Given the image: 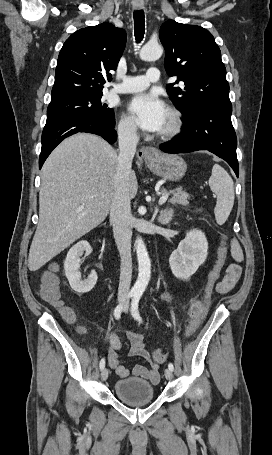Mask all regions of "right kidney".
Wrapping results in <instances>:
<instances>
[{
	"label": "right kidney",
	"instance_id": "ca27d5eb",
	"mask_svg": "<svg viewBox=\"0 0 272 455\" xmlns=\"http://www.w3.org/2000/svg\"><path fill=\"white\" fill-rule=\"evenodd\" d=\"M90 254L92 248L87 241H80L75 244L67 253L64 261V269L66 277L71 288L77 293H87L92 290L97 282V273L93 270L87 279H81L80 273V257L83 253Z\"/></svg>",
	"mask_w": 272,
	"mask_h": 455
}]
</instances>
